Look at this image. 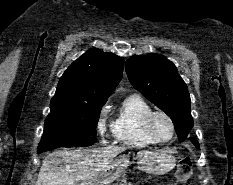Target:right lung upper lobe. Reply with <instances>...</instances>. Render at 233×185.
<instances>
[{
	"mask_svg": "<svg viewBox=\"0 0 233 185\" xmlns=\"http://www.w3.org/2000/svg\"><path fill=\"white\" fill-rule=\"evenodd\" d=\"M123 64L122 57L92 48L64 72L54 97L105 101L121 80Z\"/></svg>",
	"mask_w": 233,
	"mask_h": 185,
	"instance_id": "cb5924a9",
	"label": "right lung upper lobe"
}]
</instances>
